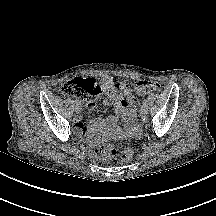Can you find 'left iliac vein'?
<instances>
[{"instance_id":"4c4485c4","label":"left iliac vein","mask_w":216,"mask_h":216,"mask_svg":"<svg viewBox=\"0 0 216 216\" xmlns=\"http://www.w3.org/2000/svg\"><path fill=\"white\" fill-rule=\"evenodd\" d=\"M147 113V105L143 104L140 108V114L145 115Z\"/></svg>"}]
</instances>
